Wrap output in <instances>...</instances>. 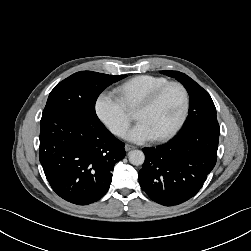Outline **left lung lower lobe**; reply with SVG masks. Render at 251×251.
I'll list each match as a JSON object with an SVG mask.
<instances>
[{
    "label": "left lung lower lobe",
    "instance_id": "1",
    "mask_svg": "<svg viewBox=\"0 0 251 251\" xmlns=\"http://www.w3.org/2000/svg\"><path fill=\"white\" fill-rule=\"evenodd\" d=\"M219 125L202 124L180 131L169 143L144 148L138 178L155 202L173 206L193 197L216 164Z\"/></svg>",
    "mask_w": 251,
    "mask_h": 251
}]
</instances>
